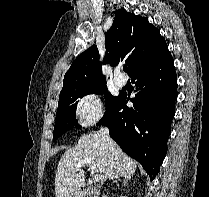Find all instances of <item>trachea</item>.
Returning a JSON list of instances; mask_svg holds the SVG:
<instances>
[{
  "label": "trachea",
  "mask_w": 209,
  "mask_h": 197,
  "mask_svg": "<svg viewBox=\"0 0 209 197\" xmlns=\"http://www.w3.org/2000/svg\"><path fill=\"white\" fill-rule=\"evenodd\" d=\"M123 70H124V72H127L128 71L127 66H123Z\"/></svg>",
  "instance_id": "trachea-1"
}]
</instances>
